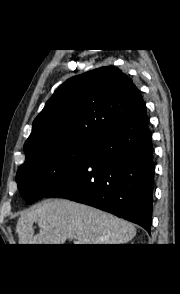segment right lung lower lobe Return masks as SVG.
<instances>
[{"label":"right lung lower lobe","mask_w":180,"mask_h":294,"mask_svg":"<svg viewBox=\"0 0 180 294\" xmlns=\"http://www.w3.org/2000/svg\"><path fill=\"white\" fill-rule=\"evenodd\" d=\"M145 103L95 142L82 165L47 198H66L152 224L154 162Z\"/></svg>","instance_id":"obj_1"}]
</instances>
